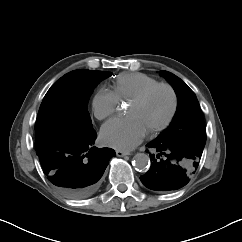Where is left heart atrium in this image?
I'll return each instance as SVG.
<instances>
[{
  "instance_id": "obj_1",
  "label": "left heart atrium",
  "mask_w": 242,
  "mask_h": 242,
  "mask_svg": "<svg viewBox=\"0 0 242 242\" xmlns=\"http://www.w3.org/2000/svg\"><path fill=\"white\" fill-rule=\"evenodd\" d=\"M147 131L132 116L114 117L107 121L101 128L102 142L118 150H131L145 137Z\"/></svg>"
}]
</instances>
